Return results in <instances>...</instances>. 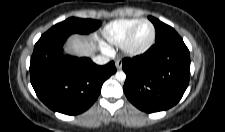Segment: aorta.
<instances>
[{"instance_id": "762f6f07", "label": "aorta", "mask_w": 225, "mask_h": 132, "mask_svg": "<svg viewBox=\"0 0 225 132\" xmlns=\"http://www.w3.org/2000/svg\"><path fill=\"white\" fill-rule=\"evenodd\" d=\"M115 78H116L118 81L123 82V81H125V79H126V74H125L123 71H118V72H116V74H115Z\"/></svg>"}]
</instances>
